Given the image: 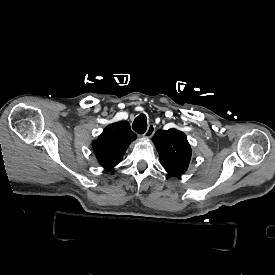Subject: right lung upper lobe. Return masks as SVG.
Returning a JSON list of instances; mask_svg holds the SVG:
<instances>
[{
    "instance_id": "cb5924a9",
    "label": "right lung upper lobe",
    "mask_w": 275,
    "mask_h": 275,
    "mask_svg": "<svg viewBox=\"0 0 275 275\" xmlns=\"http://www.w3.org/2000/svg\"><path fill=\"white\" fill-rule=\"evenodd\" d=\"M136 139L127 121L109 124L93 142L100 165L109 170L121 162L129 144Z\"/></svg>"
}]
</instances>
